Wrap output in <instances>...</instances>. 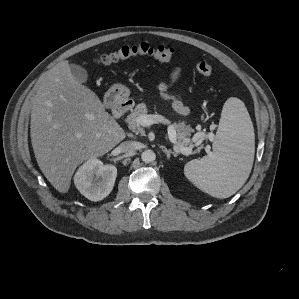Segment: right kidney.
Returning a JSON list of instances; mask_svg holds the SVG:
<instances>
[{
  "label": "right kidney",
  "mask_w": 299,
  "mask_h": 299,
  "mask_svg": "<svg viewBox=\"0 0 299 299\" xmlns=\"http://www.w3.org/2000/svg\"><path fill=\"white\" fill-rule=\"evenodd\" d=\"M117 168L104 165L97 158L87 160L76 172L74 183L82 195L91 201L106 198L113 189Z\"/></svg>",
  "instance_id": "obj_1"
}]
</instances>
